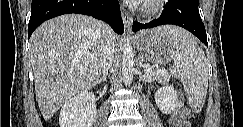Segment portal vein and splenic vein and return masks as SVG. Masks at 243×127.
<instances>
[{
    "label": "portal vein and splenic vein",
    "instance_id": "1",
    "mask_svg": "<svg viewBox=\"0 0 243 127\" xmlns=\"http://www.w3.org/2000/svg\"><path fill=\"white\" fill-rule=\"evenodd\" d=\"M144 71H145L146 74H150V73L154 72V69L151 68V67H149V66H146ZM159 72H160L161 74L167 76V72H166V71H161V70H160Z\"/></svg>",
    "mask_w": 243,
    "mask_h": 127
}]
</instances>
